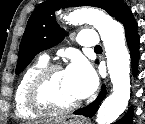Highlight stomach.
Instances as JSON below:
<instances>
[{"label": "stomach", "mask_w": 145, "mask_h": 124, "mask_svg": "<svg viewBox=\"0 0 145 124\" xmlns=\"http://www.w3.org/2000/svg\"><path fill=\"white\" fill-rule=\"evenodd\" d=\"M60 124H84V122L81 121V120H73V119H71V120H69V121L64 120V121H63L62 123H60Z\"/></svg>", "instance_id": "1"}]
</instances>
